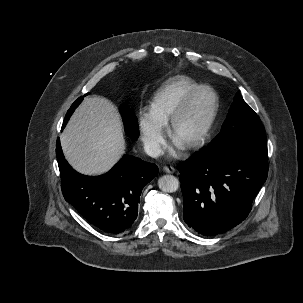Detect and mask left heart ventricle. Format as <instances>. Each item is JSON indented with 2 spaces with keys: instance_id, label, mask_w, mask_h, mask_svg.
I'll use <instances>...</instances> for the list:
<instances>
[{
  "instance_id": "obj_1",
  "label": "left heart ventricle",
  "mask_w": 303,
  "mask_h": 303,
  "mask_svg": "<svg viewBox=\"0 0 303 303\" xmlns=\"http://www.w3.org/2000/svg\"><path fill=\"white\" fill-rule=\"evenodd\" d=\"M213 106V94L208 90L201 92L180 120L175 132V138L183 144H187L192 140L205 125Z\"/></svg>"
}]
</instances>
